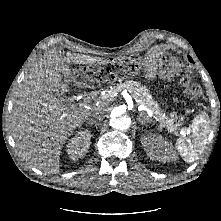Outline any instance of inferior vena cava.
<instances>
[{
  "label": "inferior vena cava",
  "mask_w": 221,
  "mask_h": 221,
  "mask_svg": "<svg viewBox=\"0 0 221 221\" xmlns=\"http://www.w3.org/2000/svg\"><path fill=\"white\" fill-rule=\"evenodd\" d=\"M103 118V113L101 109H93L89 115L88 123L89 124H98Z\"/></svg>",
  "instance_id": "inferior-vena-cava-1"
}]
</instances>
